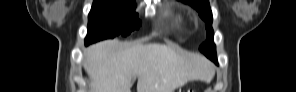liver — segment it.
Here are the masks:
<instances>
[{
  "mask_svg": "<svg viewBox=\"0 0 296 92\" xmlns=\"http://www.w3.org/2000/svg\"><path fill=\"white\" fill-rule=\"evenodd\" d=\"M84 67L94 92H173L192 80H207L212 64L200 54L159 43L131 46L117 39L90 46L84 51Z\"/></svg>",
  "mask_w": 296,
  "mask_h": 92,
  "instance_id": "1",
  "label": "liver"
}]
</instances>
